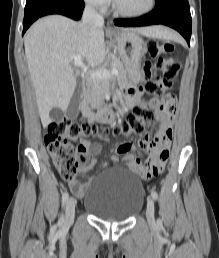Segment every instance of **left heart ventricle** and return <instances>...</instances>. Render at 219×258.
I'll list each match as a JSON object with an SVG mask.
<instances>
[{
	"label": "left heart ventricle",
	"instance_id": "obj_1",
	"mask_svg": "<svg viewBox=\"0 0 219 258\" xmlns=\"http://www.w3.org/2000/svg\"><path fill=\"white\" fill-rule=\"evenodd\" d=\"M118 6L129 12H136L148 7L150 0H116Z\"/></svg>",
	"mask_w": 219,
	"mask_h": 258
}]
</instances>
